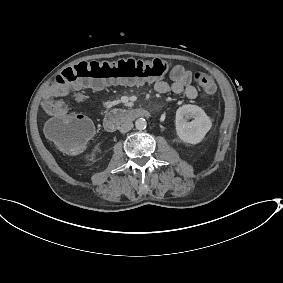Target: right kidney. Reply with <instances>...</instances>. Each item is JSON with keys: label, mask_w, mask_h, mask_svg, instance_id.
I'll list each match as a JSON object with an SVG mask.
<instances>
[{"label": "right kidney", "mask_w": 283, "mask_h": 283, "mask_svg": "<svg viewBox=\"0 0 283 283\" xmlns=\"http://www.w3.org/2000/svg\"><path fill=\"white\" fill-rule=\"evenodd\" d=\"M97 155H98V152L93 151V152L89 155V158H88L89 162H90V163L96 162V160H97Z\"/></svg>", "instance_id": "right-kidney-1"}]
</instances>
